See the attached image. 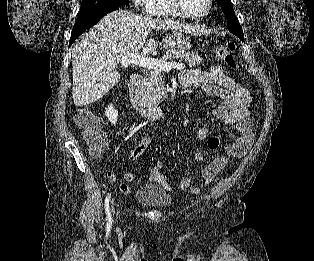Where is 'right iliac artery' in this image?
Wrapping results in <instances>:
<instances>
[{
    "label": "right iliac artery",
    "instance_id": "1",
    "mask_svg": "<svg viewBox=\"0 0 314 261\" xmlns=\"http://www.w3.org/2000/svg\"><path fill=\"white\" fill-rule=\"evenodd\" d=\"M109 201H110V194L108 193V195L105 199V203H104L105 213L107 215V217H106L107 228H110L112 225V217H111V213H110Z\"/></svg>",
    "mask_w": 314,
    "mask_h": 261
}]
</instances>
